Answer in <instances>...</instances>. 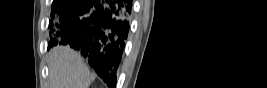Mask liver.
<instances>
[{
	"instance_id": "1",
	"label": "liver",
	"mask_w": 267,
	"mask_h": 88,
	"mask_svg": "<svg viewBox=\"0 0 267 88\" xmlns=\"http://www.w3.org/2000/svg\"><path fill=\"white\" fill-rule=\"evenodd\" d=\"M49 88H89L91 74L82 57L69 46H56L47 54Z\"/></svg>"
}]
</instances>
